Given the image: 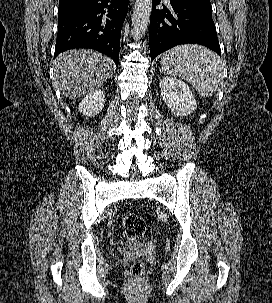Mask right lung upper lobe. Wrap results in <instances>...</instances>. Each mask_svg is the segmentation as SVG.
<instances>
[{"label":"right lung upper lobe","instance_id":"obj_1","mask_svg":"<svg viewBox=\"0 0 272 303\" xmlns=\"http://www.w3.org/2000/svg\"><path fill=\"white\" fill-rule=\"evenodd\" d=\"M88 0H59V9L66 10L76 5L82 4ZM58 9V10H59Z\"/></svg>","mask_w":272,"mask_h":303}]
</instances>
